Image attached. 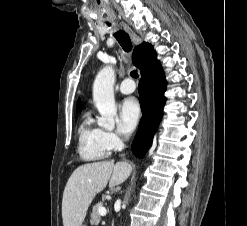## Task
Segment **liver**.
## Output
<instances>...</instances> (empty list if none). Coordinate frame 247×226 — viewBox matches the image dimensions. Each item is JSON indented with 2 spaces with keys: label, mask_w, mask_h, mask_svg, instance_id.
Here are the masks:
<instances>
[{
  "label": "liver",
  "mask_w": 247,
  "mask_h": 226,
  "mask_svg": "<svg viewBox=\"0 0 247 226\" xmlns=\"http://www.w3.org/2000/svg\"><path fill=\"white\" fill-rule=\"evenodd\" d=\"M128 162L100 161L79 166L70 176L62 199L64 226H81L94 197L109 182V187L122 184L131 174Z\"/></svg>",
  "instance_id": "liver-1"
}]
</instances>
